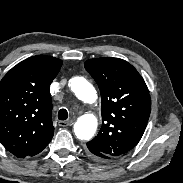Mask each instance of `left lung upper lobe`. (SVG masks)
Segmentation results:
<instances>
[{"mask_svg": "<svg viewBox=\"0 0 183 183\" xmlns=\"http://www.w3.org/2000/svg\"><path fill=\"white\" fill-rule=\"evenodd\" d=\"M84 66L100 89L102 109L101 129L87 148L120 157L138 144L145 131L151 110L148 88L125 60L94 58Z\"/></svg>", "mask_w": 183, "mask_h": 183, "instance_id": "obj_1", "label": "left lung upper lobe"}]
</instances>
